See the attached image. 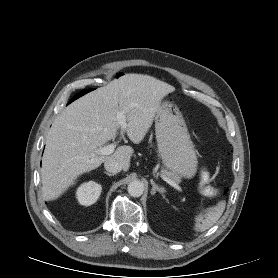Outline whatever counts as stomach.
<instances>
[{"label":"stomach","instance_id":"1","mask_svg":"<svg viewBox=\"0 0 278 278\" xmlns=\"http://www.w3.org/2000/svg\"><path fill=\"white\" fill-rule=\"evenodd\" d=\"M155 134L162 163L167 170L184 178L197 172V156L185 120L171 102L160 103L155 117Z\"/></svg>","mask_w":278,"mask_h":278}]
</instances>
